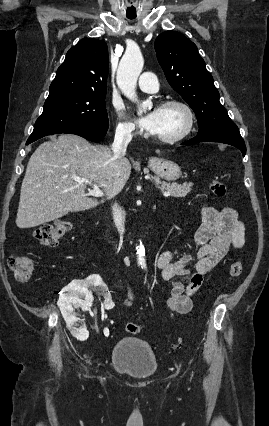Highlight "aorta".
<instances>
[{
    "label": "aorta",
    "mask_w": 269,
    "mask_h": 426,
    "mask_svg": "<svg viewBox=\"0 0 269 426\" xmlns=\"http://www.w3.org/2000/svg\"><path fill=\"white\" fill-rule=\"evenodd\" d=\"M144 65L143 57L138 49L128 50L122 57L117 70V84L124 95L133 102L138 103V114L146 111L151 106L150 101L139 103L136 95L137 79ZM139 264L145 263V249L142 243L136 247Z\"/></svg>",
    "instance_id": "1"
}]
</instances>
